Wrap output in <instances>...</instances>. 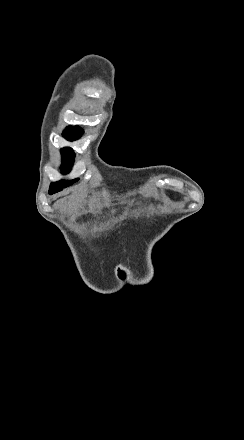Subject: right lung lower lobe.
<instances>
[{
	"instance_id": "obj_1",
	"label": "right lung lower lobe",
	"mask_w": 244,
	"mask_h": 440,
	"mask_svg": "<svg viewBox=\"0 0 244 440\" xmlns=\"http://www.w3.org/2000/svg\"><path fill=\"white\" fill-rule=\"evenodd\" d=\"M62 189H63V188H61V187L50 186L49 194H54V193H56V192L61 191Z\"/></svg>"
}]
</instances>
